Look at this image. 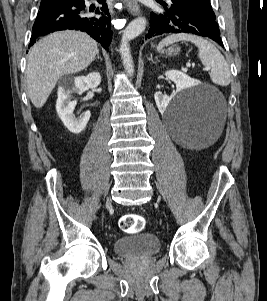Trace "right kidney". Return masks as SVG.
<instances>
[{
  "label": "right kidney",
  "mask_w": 267,
  "mask_h": 301,
  "mask_svg": "<svg viewBox=\"0 0 267 301\" xmlns=\"http://www.w3.org/2000/svg\"><path fill=\"white\" fill-rule=\"evenodd\" d=\"M100 83V73L93 72L87 76L75 77L72 81L58 89L56 111L63 124L70 132L74 134L81 133L85 129L91 116V113L88 110L79 119L75 118L73 111L77 102L71 101L72 93L82 94L90 88H96Z\"/></svg>",
  "instance_id": "1"
}]
</instances>
